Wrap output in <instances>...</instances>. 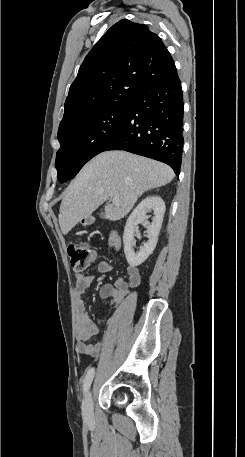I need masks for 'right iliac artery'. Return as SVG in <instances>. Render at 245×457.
<instances>
[{
  "label": "right iliac artery",
  "mask_w": 245,
  "mask_h": 457,
  "mask_svg": "<svg viewBox=\"0 0 245 457\" xmlns=\"http://www.w3.org/2000/svg\"><path fill=\"white\" fill-rule=\"evenodd\" d=\"M95 369L91 368L88 370L86 377L84 379V386H83V391L86 393L92 383L93 377H94Z\"/></svg>",
  "instance_id": "right-iliac-artery-1"
}]
</instances>
